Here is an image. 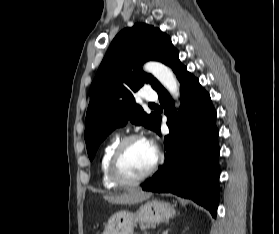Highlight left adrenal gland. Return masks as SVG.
Listing matches in <instances>:
<instances>
[{
  "label": "left adrenal gland",
  "instance_id": "1",
  "mask_svg": "<svg viewBox=\"0 0 279 234\" xmlns=\"http://www.w3.org/2000/svg\"><path fill=\"white\" fill-rule=\"evenodd\" d=\"M163 234H168V230H166Z\"/></svg>",
  "mask_w": 279,
  "mask_h": 234
}]
</instances>
